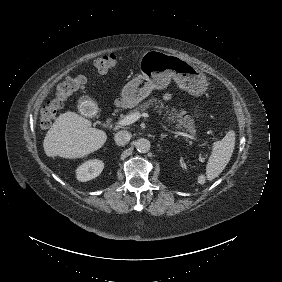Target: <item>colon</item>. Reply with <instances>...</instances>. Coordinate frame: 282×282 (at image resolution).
<instances>
[{
  "label": "colon",
  "instance_id": "obj_1",
  "mask_svg": "<svg viewBox=\"0 0 282 282\" xmlns=\"http://www.w3.org/2000/svg\"><path fill=\"white\" fill-rule=\"evenodd\" d=\"M117 65V57L113 54L103 55L96 59L94 67L95 71L99 74H105ZM86 81V78L82 75L69 78L62 82L50 100V102L42 109L39 116V125L42 128H48L53 123L59 110L61 109L63 102L71 96L75 91L80 89Z\"/></svg>",
  "mask_w": 282,
  "mask_h": 282
}]
</instances>
